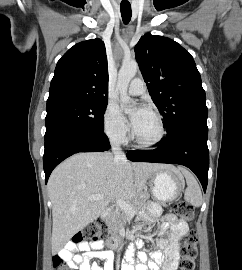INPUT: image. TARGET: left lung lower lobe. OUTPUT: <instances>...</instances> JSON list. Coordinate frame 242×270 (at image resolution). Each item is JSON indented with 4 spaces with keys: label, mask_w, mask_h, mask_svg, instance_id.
I'll use <instances>...</instances> for the list:
<instances>
[{
    "label": "left lung lower lobe",
    "mask_w": 242,
    "mask_h": 270,
    "mask_svg": "<svg viewBox=\"0 0 242 270\" xmlns=\"http://www.w3.org/2000/svg\"><path fill=\"white\" fill-rule=\"evenodd\" d=\"M206 121H191L167 134L154 150L127 152L131 161L180 164L190 168L200 180L204 192L208 183L209 150Z\"/></svg>",
    "instance_id": "0a47b994"
}]
</instances>
